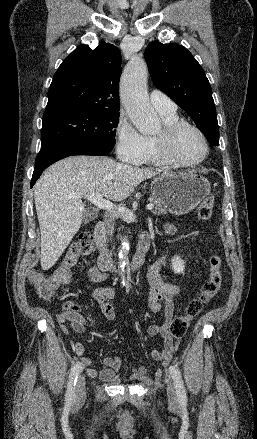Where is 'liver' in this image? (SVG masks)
<instances>
[{
	"label": "liver",
	"mask_w": 257,
	"mask_h": 439,
	"mask_svg": "<svg viewBox=\"0 0 257 439\" xmlns=\"http://www.w3.org/2000/svg\"><path fill=\"white\" fill-rule=\"evenodd\" d=\"M157 171L117 163L108 157L72 156L51 167L34 188L41 232V267L50 269L78 232L84 214L81 199L71 194H101L123 201Z\"/></svg>",
	"instance_id": "6515ba94"
}]
</instances>
